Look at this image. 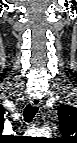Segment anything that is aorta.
Returning a JSON list of instances; mask_svg holds the SVG:
<instances>
[{"label": "aorta", "mask_w": 77, "mask_h": 143, "mask_svg": "<svg viewBox=\"0 0 77 143\" xmlns=\"http://www.w3.org/2000/svg\"><path fill=\"white\" fill-rule=\"evenodd\" d=\"M46 134H48V130L46 128H42L37 131V135H46Z\"/></svg>", "instance_id": "aorta-1"}]
</instances>
